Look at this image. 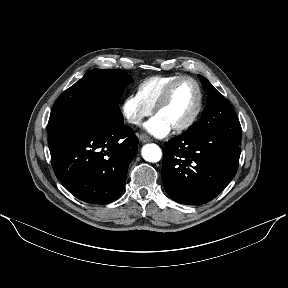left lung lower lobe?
Returning <instances> with one entry per match:
<instances>
[{
  "mask_svg": "<svg viewBox=\"0 0 288 288\" xmlns=\"http://www.w3.org/2000/svg\"><path fill=\"white\" fill-rule=\"evenodd\" d=\"M239 145L205 129L185 132L166 142L162 180L167 194L178 203L190 205L214 199L237 172Z\"/></svg>",
  "mask_w": 288,
  "mask_h": 288,
  "instance_id": "1",
  "label": "left lung lower lobe"
}]
</instances>
